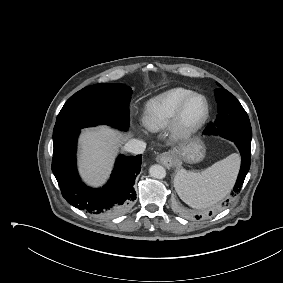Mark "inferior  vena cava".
<instances>
[{
  "instance_id": "obj_1",
  "label": "inferior vena cava",
  "mask_w": 283,
  "mask_h": 283,
  "mask_svg": "<svg viewBox=\"0 0 283 283\" xmlns=\"http://www.w3.org/2000/svg\"><path fill=\"white\" fill-rule=\"evenodd\" d=\"M145 148L146 144L143 141L137 139L129 140L124 146L125 151L133 154H141L144 152Z\"/></svg>"
}]
</instances>
